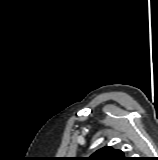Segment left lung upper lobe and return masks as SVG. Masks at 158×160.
<instances>
[{
  "label": "left lung upper lobe",
  "mask_w": 158,
  "mask_h": 160,
  "mask_svg": "<svg viewBox=\"0 0 158 160\" xmlns=\"http://www.w3.org/2000/svg\"><path fill=\"white\" fill-rule=\"evenodd\" d=\"M85 160H131L125 157L121 150L113 149L110 146L103 147L97 150L94 154Z\"/></svg>",
  "instance_id": "left-lung-upper-lobe-1"
}]
</instances>
